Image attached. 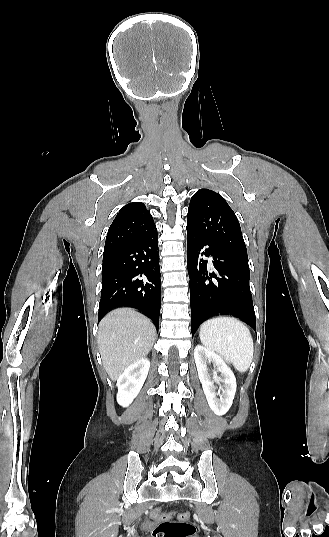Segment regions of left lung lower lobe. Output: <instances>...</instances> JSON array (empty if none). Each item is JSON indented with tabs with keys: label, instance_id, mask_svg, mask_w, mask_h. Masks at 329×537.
<instances>
[{
	"label": "left lung lower lobe",
	"instance_id": "left-lung-lower-lobe-1",
	"mask_svg": "<svg viewBox=\"0 0 329 537\" xmlns=\"http://www.w3.org/2000/svg\"><path fill=\"white\" fill-rule=\"evenodd\" d=\"M202 256L212 257L213 272ZM187 266L192 336L201 323L221 314L235 316L256 331L248 259L211 244L187 225Z\"/></svg>",
	"mask_w": 329,
	"mask_h": 537
}]
</instances>
